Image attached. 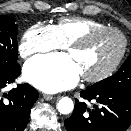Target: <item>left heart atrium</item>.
<instances>
[{
  "label": "left heart atrium",
  "mask_w": 131,
  "mask_h": 131,
  "mask_svg": "<svg viewBox=\"0 0 131 131\" xmlns=\"http://www.w3.org/2000/svg\"><path fill=\"white\" fill-rule=\"evenodd\" d=\"M23 74L25 80L38 89L56 93L75 86L81 73L69 54H50L27 61Z\"/></svg>",
  "instance_id": "obj_1"
}]
</instances>
